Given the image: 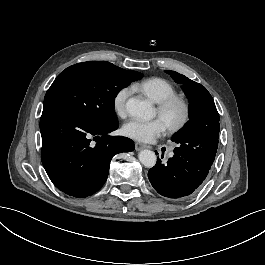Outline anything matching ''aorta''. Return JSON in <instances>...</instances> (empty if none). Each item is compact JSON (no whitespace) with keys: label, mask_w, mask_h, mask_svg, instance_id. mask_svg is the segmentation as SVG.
I'll return each mask as SVG.
<instances>
[{"label":"aorta","mask_w":265,"mask_h":265,"mask_svg":"<svg viewBox=\"0 0 265 265\" xmlns=\"http://www.w3.org/2000/svg\"><path fill=\"white\" fill-rule=\"evenodd\" d=\"M126 110L132 117L145 120L150 119L153 113L152 105L149 102L136 98H130L126 102ZM138 158L146 168L154 167L157 160L155 153L148 149L141 150Z\"/></svg>","instance_id":"obj_1"}]
</instances>
